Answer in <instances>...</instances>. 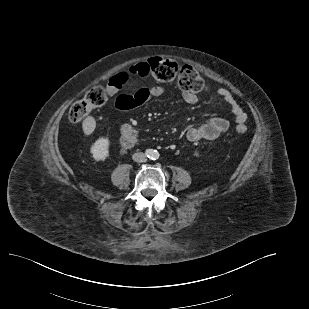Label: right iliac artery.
Listing matches in <instances>:
<instances>
[{"mask_svg": "<svg viewBox=\"0 0 309 309\" xmlns=\"http://www.w3.org/2000/svg\"><path fill=\"white\" fill-rule=\"evenodd\" d=\"M151 150H146V155L148 156V157H150V155H151Z\"/></svg>", "mask_w": 309, "mask_h": 309, "instance_id": "right-iliac-artery-1", "label": "right iliac artery"}]
</instances>
